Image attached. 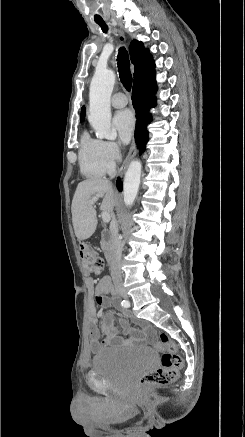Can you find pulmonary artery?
<instances>
[{"instance_id":"1","label":"pulmonary artery","mask_w":245,"mask_h":437,"mask_svg":"<svg viewBox=\"0 0 245 437\" xmlns=\"http://www.w3.org/2000/svg\"><path fill=\"white\" fill-rule=\"evenodd\" d=\"M127 103V97L121 92L114 94L111 98V104L115 108H123Z\"/></svg>"}]
</instances>
